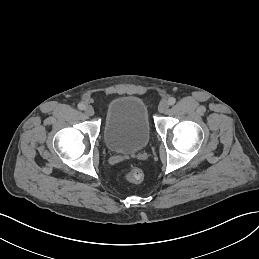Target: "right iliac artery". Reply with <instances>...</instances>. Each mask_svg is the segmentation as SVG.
Returning a JSON list of instances; mask_svg holds the SVG:
<instances>
[{
	"instance_id": "obj_1",
	"label": "right iliac artery",
	"mask_w": 259,
	"mask_h": 259,
	"mask_svg": "<svg viewBox=\"0 0 259 259\" xmlns=\"http://www.w3.org/2000/svg\"><path fill=\"white\" fill-rule=\"evenodd\" d=\"M85 104L84 103H79L78 104V108L80 109V110H84L85 109Z\"/></svg>"
}]
</instances>
